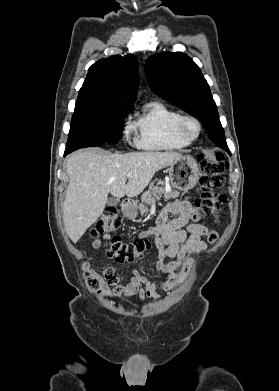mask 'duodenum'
<instances>
[{
    "mask_svg": "<svg viewBox=\"0 0 279 391\" xmlns=\"http://www.w3.org/2000/svg\"><path fill=\"white\" fill-rule=\"evenodd\" d=\"M132 206H133V203L130 200H125V202H124L125 212L131 211Z\"/></svg>",
    "mask_w": 279,
    "mask_h": 391,
    "instance_id": "410a0bca",
    "label": "duodenum"
}]
</instances>
